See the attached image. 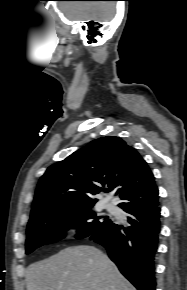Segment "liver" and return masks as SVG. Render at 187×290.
Here are the masks:
<instances>
[{
    "label": "liver",
    "mask_w": 187,
    "mask_h": 290,
    "mask_svg": "<svg viewBox=\"0 0 187 290\" xmlns=\"http://www.w3.org/2000/svg\"><path fill=\"white\" fill-rule=\"evenodd\" d=\"M26 286L27 290H136L107 255L85 245L30 265Z\"/></svg>",
    "instance_id": "1"
}]
</instances>
